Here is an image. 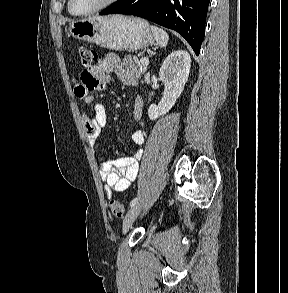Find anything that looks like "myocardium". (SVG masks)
I'll return each instance as SVG.
<instances>
[{"label":"myocardium","mask_w":288,"mask_h":293,"mask_svg":"<svg viewBox=\"0 0 288 293\" xmlns=\"http://www.w3.org/2000/svg\"><path fill=\"white\" fill-rule=\"evenodd\" d=\"M117 0H104L101 4L97 5L96 7L83 11V12H76L72 8V0H68V10L71 14L76 15V16H85L89 14L96 13L98 11H101L110 5L114 4Z\"/></svg>","instance_id":"1"}]
</instances>
